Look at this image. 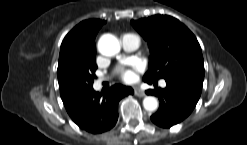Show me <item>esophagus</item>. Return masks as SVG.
Here are the masks:
<instances>
[{
    "label": "esophagus",
    "instance_id": "34e87169",
    "mask_svg": "<svg viewBox=\"0 0 247 145\" xmlns=\"http://www.w3.org/2000/svg\"><path fill=\"white\" fill-rule=\"evenodd\" d=\"M134 94L138 97H144L145 96V93L139 87H135Z\"/></svg>",
    "mask_w": 247,
    "mask_h": 145
}]
</instances>
